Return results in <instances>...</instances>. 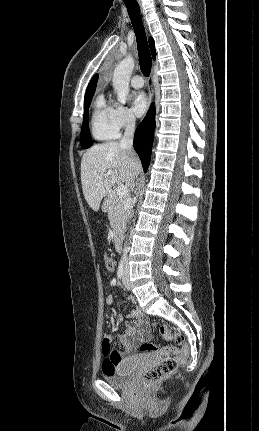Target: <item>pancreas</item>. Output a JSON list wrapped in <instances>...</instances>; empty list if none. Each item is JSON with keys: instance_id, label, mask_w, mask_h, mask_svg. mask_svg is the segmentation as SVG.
Masks as SVG:
<instances>
[{"instance_id": "1", "label": "pancreas", "mask_w": 259, "mask_h": 431, "mask_svg": "<svg viewBox=\"0 0 259 431\" xmlns=\"http://www.w3.org/2000/svg\"><path fill=\"white\" fill-rule=\"evenodd\" d=\"M126 198L117 194L110 196L108 200V218L113 228L114 235L122 232L126 222Z\"/></svg>"}]
</instances>
